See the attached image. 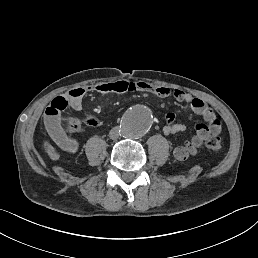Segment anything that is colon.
<instances>
[{"mask_svg": "<svg viewBox=\"0 0 258 258\" xmlns=\"http://www.w3.org/2000/svg\"><path fill=\"white\" fill-rule=\"evenodd\" d=\"M78 127V120L73 119L70 121V128L77 129ZM205 145L209 150L215 153H219L222 150L221 139L217 134H210L205 141ZM46 152L51 158H55L57 156L56 151L51 146H47Z\"/></svg>", "mask_w": 258, "mask_h": 258, "instance_id": "obj_1", "label": "colon"}]
</instances>
